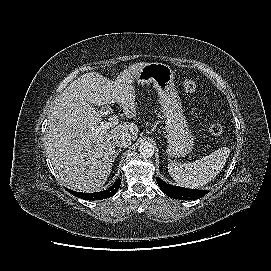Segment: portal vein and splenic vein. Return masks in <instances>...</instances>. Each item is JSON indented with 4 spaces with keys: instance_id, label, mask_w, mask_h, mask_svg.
Here are the masks:
<instances>
[{
    "instance_id": "18ae733b",
    "label": "portal vein and splenic vein",
    "mask_w": 271,
    "mask_h": 271,
    "mask_svg": "<svg viewBox=\"0 0 271 271\" xmlns=\"http://www.w3.org/2000/svg\"><path fill=\"white\" fill-rule=\"evenodd\" d=\"M119 121L117 117H113L111 122H106V123H101L99 126H97L95 128V133H99L103 130H107L110 128L115 127L116 125H118Z\"/></svg>"
}]
</instances>
